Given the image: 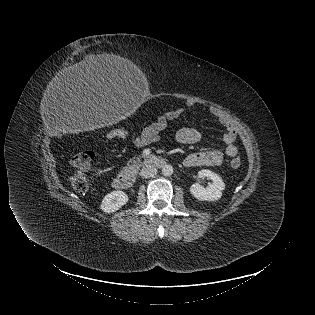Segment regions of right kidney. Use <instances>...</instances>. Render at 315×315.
Segmentation results:
<instances>
[{
	"mask_svg": "<svg viewBox=\"0 0 315 315\" xmlns=\"http://www.w3.org/2000/svg\"><path fill=\"white\" fill-rule=\"evenodd\" d=\"M128 202V196L125 192L117 190L107 194L100 205V208L105 213H113L119 210Z\"/></svg>",
	"mask_w": 315,
	"mask_h": 315,
	"instance_id": "ca27d5eb",
	"label": "right kidney"
}]
</instances>
